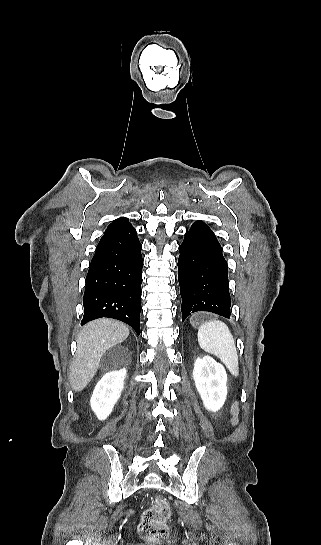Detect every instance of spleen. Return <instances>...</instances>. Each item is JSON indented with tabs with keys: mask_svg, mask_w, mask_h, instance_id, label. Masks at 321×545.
<instances>
[{
	"mask_svg": "<svg viewBox=\"0 0 321 545\" xmlns=\"http://www.w3.org/2000/svg\"><path fill=\"white\" fill-rule=\"evenodd\" d=\"M198 343L206 353L216 355L234 377L239 375L238 355L227 325L222 321L203 323L198 329Z\"/></svg>",
	"mask_w": 321,
	"mask_h": 545,
	"instance_id": "1",
	"label": "spleen"
}]
</instances>
